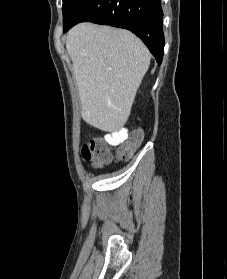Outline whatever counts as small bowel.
<instances>
[{"label":"small bowel","mask_w":227,"mask_h":279,"mask_svg":"<svg viewBox=\"0 0 227 279\" xmlns=\"http://www.w3.org/2000/svg\"><path fill=\"white\" fill-rule=\"evenodd\" d=\"M128 137V132L125 128L118 129L117 131L113 132L112 134H106L104 136L105 141L109 145H118Z\"/></svg>","instance_id":"small-bowel-1"}]
</instances>
